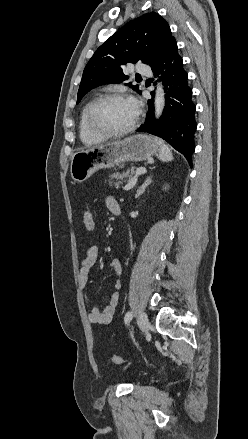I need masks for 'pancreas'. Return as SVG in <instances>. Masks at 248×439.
Here are the masks:
<instances>
[{
    "label": "pancreas",
    "mask_w": 248,
    "mask_h": 439,
    "mask_svg": "<svg viewBox=\"0 0 248 439\" xmlns=\"http://www.w3.org/2000/svg\"><path fill=\"white\" fill-rule=\"evenodd\" d=\"M134 175V169H128L125 173L122 174H112L109 176V185L111 187H116L118 188V186L120 184H123V182L126 181H131L133 179ZM128 179V180H127Z\"/></svg>",
    "instance_id": "1"
}]
</instances>
